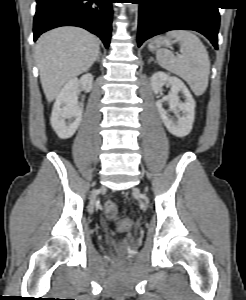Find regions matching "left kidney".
<instances>
[{
	"label": "left kidney",
	"mask_w": 246,
	"mask_h": 300,
	"mask_svg": "<svg viewBox=\"0 0 246 300\" xmlns=\"http://www.w3.org/2000/svg\"><path fill=\"white\" fill-rule=\"evenodd\" d=\"M150 82L155 94L159 93L163 85L168 83L171 86L169 94L158 100L156 106L164 125L172 135L180 138L187 136L193 127L196 104L186 85L179 78L163 72L154 73ZM179 92H182L185 97L184 103L179 100ZM164 102H168L170 110L177 114V120L168 116V112L163 108Z\"/></svg>",
	"instance_id": "5707ae66"
}]
</instances>
